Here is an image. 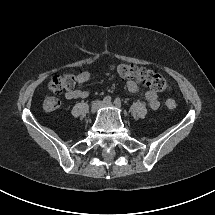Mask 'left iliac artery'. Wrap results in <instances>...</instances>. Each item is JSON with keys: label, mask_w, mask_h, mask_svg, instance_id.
Instances as JSON below:
<instances>
[{"label": "left iliac artery", "mask_w": 215, "mask_h": 215, "mask_svg": "<svg viewBox=\"0 0 215 215\" xmlns=\"http://www.w3.org/2000/svg\"><path fill=\"white\" fill-rule=\"evenodd\" d=\"M114 102L117 107H121V100L119 98H116Z\"/></svg>", "instance_id": "44dca946"}]
</instances>
